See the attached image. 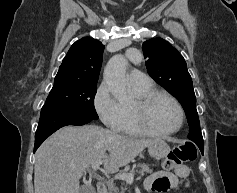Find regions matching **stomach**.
<instances>
[{"label": "stomach", "mask_w": 237, "mask_h": 193, "mask_svg": "<svg viewBox=\"0 0 237 193\" xmlns=\"http://www.w3.org/2000/svg\"><path fill=\"white\" fill-rule=\"evenodd\" d=\"M148 152L151 157L159 160L168 155L170 147L164 140L158 139L156 142L148 146Z\"/></svg>", "instance_id": "obj_1"}]
</instances>
